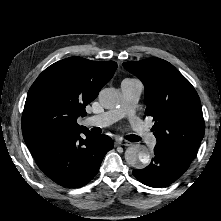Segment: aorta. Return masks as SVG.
<instances>
[{
	"label": "aorta",
	"instance_id": "aorta-1",
	"mask_svg": "<svg viewBox=\"0 0 221 221\" xmlns=\"http://www.w3.org/2000/svg\"><path fill=\"white\" fill-rule=\"evenodd\" d=\"M120 93L114 88H104L99 93V102L106 109L114 108L120 102ZM150 153L142 145H132L125 151L126 162L135 168H140L150 162Z\"/></svg>",
	"mask_w": 221,
	"mask_h": 221
}]
</instances>
